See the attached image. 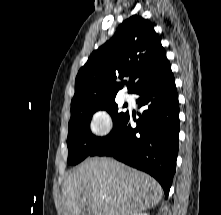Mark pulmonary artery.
Listing matches in <instances>:
<instances>
[{
  "label": "pulmonary artery",
  "mask_w": 221,
  "mask_h": 215,
  "mask_svg": "<svg viewBox=\"0 0 221 215\" xmlns=\"http://www.w3.org/2000/svg\"><path fill=\"white\" fill-rule=\"evenodd\" d=\"M124 98L129 103L133 102V96L130 93H125Z\"/></svg>",
  "instance_id": "e3ab8cb5"
}]
</instances>
